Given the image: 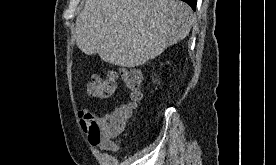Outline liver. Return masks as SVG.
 Returning a JSON list of instances; mask_svg holds the SVG:
<instances>
[{
	"mask_svg": "<svg viewBox=\"0 0 276 165\" xmlns=\"http://www.w3.org/2000/svg\"><path fill=\"white\" fill-rule=\"evenodd\" d=\"M192 16L179 0H86L76 19V45L87 55L133 68L183 40Z\"/></svg>",
	"mask_w": 276,
	"mask_h": 165,
	"instance_id": "obj_1",
	"label": "liver"
}]
</instances>
